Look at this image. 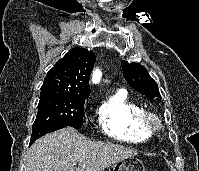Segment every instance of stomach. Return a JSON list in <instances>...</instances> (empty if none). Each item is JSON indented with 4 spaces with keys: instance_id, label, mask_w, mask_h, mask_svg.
<instances>
[{
    "instance_id": "0dacf381",
    "label": "stomach",
    "mask_w": 199,
    "mask_h": 171,
    "mask_svg": "<svg viewBox=\"0 0 199 171\" xmlns=\"http://www.w3.org/2000/svg\"><path fill=\"white\" fill-rule=\"evenodd\" d=\"M113 171H146V168L141 160L130 157L115 163Z\"/></svg>"
}]
</instances>
